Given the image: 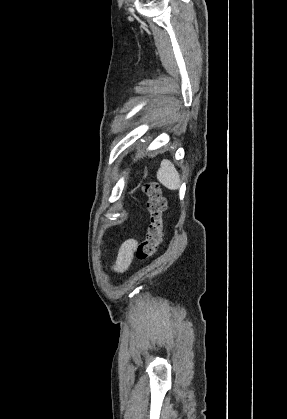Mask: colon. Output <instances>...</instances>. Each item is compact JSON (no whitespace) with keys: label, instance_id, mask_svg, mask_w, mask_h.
Returning a JSON list of instances; mask_svg holds the SVG:
<instances>
[{"label":"colon","instance_id":"1","mask_svg":"<svg viewBox=\"0 0 287 419\" xmlns=\"http://www.w3.org/2000/svg\"><path fill=\"white\" fill-rule=\"evenodd\" d=\"M142 188L147 196L149 224L145 239L136 247L135 251L139 261H146L157 253L162 243L163 212L166 202L157 183L145 182Z\"/></svg>","mask_w":287,"mask_h":419}]
</instances>
